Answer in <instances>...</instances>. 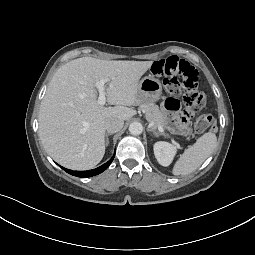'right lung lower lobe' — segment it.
<instances>
[{
  "mask_svg": "<svg viewBox=\"0 0 255 255\" xmlns=\"http://www.w3.org/2000/svg\"><path fill=\"white\" fill-rule=\"evenodd\" d=\"M114 156L105 164H103L102 166L93 169V170H88V171H72L66 168H63L67 173L76 176V177H91V176H95L97 174L102 173L113 161Z\"/></svg>",
  "mask_w": 255,
  "mask_h": 255,
  "instance_id": "right-lung-lower-lobe-1",
  "label": "right lung lower lobe"
}]
</instances>
